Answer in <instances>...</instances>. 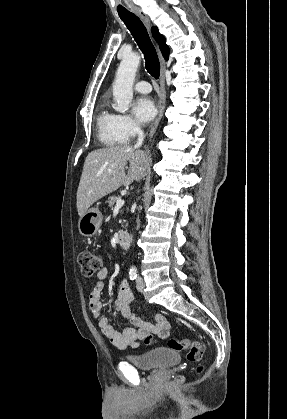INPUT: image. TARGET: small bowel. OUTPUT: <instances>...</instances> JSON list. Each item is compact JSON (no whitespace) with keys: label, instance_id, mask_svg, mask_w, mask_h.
Masks as SVG:
<instances>
[{"label":"small bowel","instance_id":"c3829d8e","mask_svg":"<svg viewBox=\"0 0 287 419\" xmlns=\"http://www.w3.org/2000/svg\"><path fill=\"white\" fill-rule=\"evenodd\" d=\"M107 277L108 270L106 268L97 272L95 285L89 295V308L92 316L98 321L104 336L115 347L119 349L136 348L141 341L152 334H156L160 338L168 336L170 325L163 314H153V322L144 321L134 314L130 307L132 294L128 284L124 281L118 288V297L111 304V309L120 312L133 326L124 327L121 331H117L102 314L101 295Z\"/></svg>","mask_w":287,"mask_h":419}]
</instances>
